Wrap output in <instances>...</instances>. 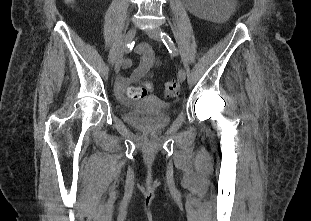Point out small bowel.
I'll use <instances>...</instances> for the list:
<instances>
[{
  "mask_svg": "<svg viewBox=\"0 0 311 221\" xmlns=\"http://www.w3.org/2000/svg\"><path fill=\"white\" fill-rule=\"evenodd\" d=\"M136 51L140 56V64L132 72L130 78L120 82V87L125 89L130 83H139L146 89L152 90L153 85L149 79V75L152 68L158 65V58L148 44L138 46Z\"/></svg>",
  "mask_w": 311,
  "mask_h": 221,
  "instance_id": "obj_1",
  "label": "small bowel"
}]
</instances>
